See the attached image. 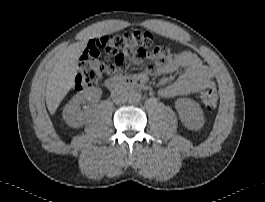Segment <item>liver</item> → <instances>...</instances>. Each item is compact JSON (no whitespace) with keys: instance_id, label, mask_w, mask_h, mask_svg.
Returning a JSON list of instances; mask_svg holds the SVG:
<instances>
[{"instance_id":"1","label":"liver","mask_w":265,"mask_h":202,"mask_svg":"<svg viewBox=\"0 0 265 202\" xmlns=\"http://www.w3.org/2000/svg\"><path fill=\"white\" fill-rule=\"evenodd\" d=\"M87 42H77L63 50L49 74L45 99L51 115L55 114L59 104L70 91L78 71V59Z\"/></svg>"}]
</instances>
